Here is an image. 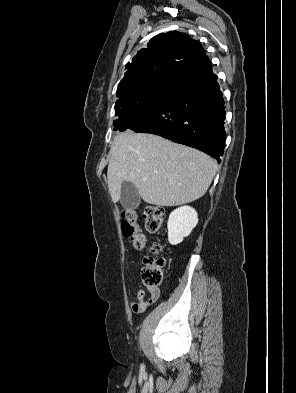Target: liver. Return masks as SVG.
I'll list each match as a JSON object with an SVG mask.
<instances>
[{
	"instance_id": "obj_1",
	"label": "liver",
	"mask_w": 296,
	"mask_h": 393,
	"mask_svg": "<svg viewBox=\"0 0 296 393\" xmlns=\"http://www.w3.org/2000/svg\"><path fill=\"white\" fill-rule=\"evenodd\" d=\"M217 171L205 153L163 137L126 131L114 138L107 169L114 203L131 182L148 204L177 206L201 198Z\"/></svg>"
}]
</instances>
